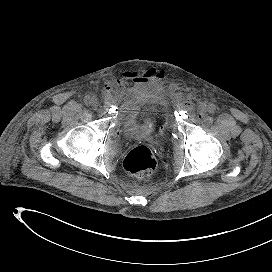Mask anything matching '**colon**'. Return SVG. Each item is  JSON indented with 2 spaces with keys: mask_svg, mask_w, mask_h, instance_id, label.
I'll return each mask as SVG.
<instances>
[{
  "mask_svg": "<svg viewBox=\"0 0 272 272\" xmlns=\"http://www.w3.org/2000/svg\"><path fill=\"white\" fill-rule=\"evenodd\" d=\"M157 161L152 151L146 146L133 148L124 159L127 172L138 177L151 175L156 169Z\"/></svg>",
  "mask_w": 272,
  "mask_h": 272,
  "instance_id": "1",
  "label": "colon"
}]
</instances>
